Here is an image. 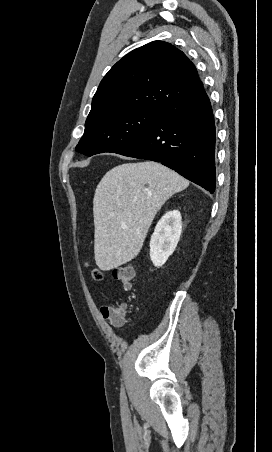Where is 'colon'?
<instances>
[{"mask_svg": "<svg viewBox=\"0 0 272 452\" xmlns=\"http://www.w3.org/2000/svg\"><path fill=\"white\" fill-rule=\"evenodd\" d=\"M93 278L96 281H101L104 278L103 272L100 269H93L92 271ZM115 278L125 287L128 288L131 286V284L134 281L135 278V271L132 265L130 264H124L119 267H117L114 270ZM108 312H114L118 315H122L126 313L127 306L126 305H120L118 307H112L108 306L107 308Z\"/></svg>", "mask_w": 272, "mask_h": 452, "instance_id": "obj_1", "label": "colon"}]
</instances>
